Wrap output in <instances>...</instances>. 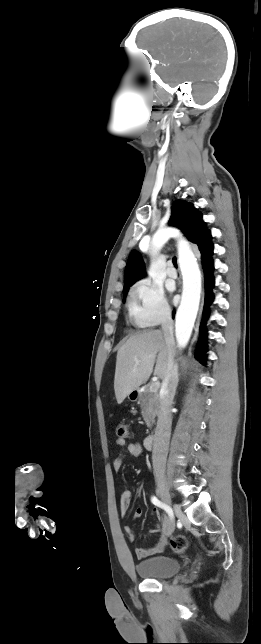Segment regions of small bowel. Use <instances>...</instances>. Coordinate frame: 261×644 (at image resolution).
<instances>
[{
    "label": "small bowel",
    "instance_id": "small-bowel-1",
    "mask_svg": "<svg viewBox=\"0 0 261 644\" xmlns=\"http://www.w3.org/2000/svg\"><path fill=\"white\" fill-rule=\"evenodd\" d=\"M116 444L120 449L118 456L115 458L113 462V469L116 472H118L123 465V462L125 459V452H128L134 457H140L143 454V448L138 443L133 442V443L127 444L124 439H117ZM132 496H133V493L130 489H124L121 492L120 514L122 517H125L127 514ZM153 514L159 521L162 522V529L158 525H156L153 529H151V533L159 535L157 541L154 544L145 548L135 549L136 556L139 559L146 558L148 556L162 552L167 543L164 530L169 523V519L166 515H161L157 510H154ZM142 515H143V509L140 507L136 508V510L134 511V519L138 520L142 517ZM124 532L130 541L135 540L136 534L130 526H124Z\"/></svg>",
    "mask_w": 261,
    "mask_h": 644
}]
</instances>
